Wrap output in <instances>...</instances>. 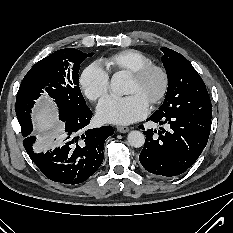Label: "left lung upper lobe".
<instances>
[{"label":"left lung upper lobe","instance_id":"left-lung-upper-lobe-1","mask_svg":"<svg viewBox=\"0 0 233 233\" xmlns=\"http://www.w3.org/2000/svg\"><path fill=\"white\" fill-rule=\"evenodd\" d=\"M168 76L163 104L154 113L186 112L211 120L212 105L206 86L191 63L176 51L161 48Z\"/></svg>","mask_w":233,"mask_h":233}]
</instances>
